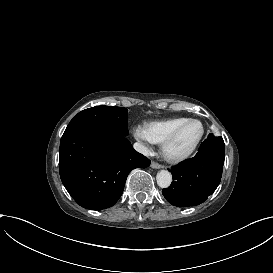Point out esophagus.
<instances>
[{"instance_id": "esophagus-1", "label": "esophagus", "mask_w": 273, "mask_h": 273, "mask_svg": "<svg viewBox=\"0 0 273 273\" xmlns=\"http://www.w3.org/2000/svg\"><path fill=\"white\" fill-rule=\"evenodd\" d=\"M151 168H153V169H160V168H162V165H160V164H158L156 162H152L151 163Z\"/></svg>"}]
</instances>
